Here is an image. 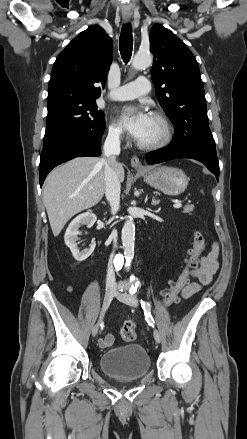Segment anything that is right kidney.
I'll list each match as a JSON object with an SVG mask.
<instances>
[{"mask_svg": "<svg viewBox=\"0 0 247 439\" xmlns=\"http://www.w3.org/2000/svg\"><path fill=\"white\" fill-rule=\"evenodd\" d=\"M96 219L97 217L95 214L89 211L84 212L78 215L74 220H72L66 230L64 236L65 244L71 250L73 257L79 262L86 260L93 253L96 246V244L93 243L90 245L89 249L79 251L77 247L78 235H80L81 233L79 231V228L82 225H86L87 227L93 226V224L96 222Z\"/></svg>", "mask_w": 247, "mask_h": 439, "instance_id": "right-kidney-1", "label": "right kidney"}]
</instances>
